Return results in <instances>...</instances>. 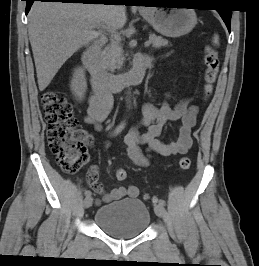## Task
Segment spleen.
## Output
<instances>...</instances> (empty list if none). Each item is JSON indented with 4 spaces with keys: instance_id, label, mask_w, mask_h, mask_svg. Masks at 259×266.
<instances>
[{
    "instance_id": "3e777b00",
    "label": "spleen",
    "mask_w": 259,
    "mask_h": 266,
    "mask_svg": "<svg viewBox=\"0 0 259 266\" xmlns=\"http://www.w3.org/2000/svg\"><path fill=\"white\" fill-rule=\"evenodd\" d=\"M212 42L214 45H219V36L217 34H214Z\"/></svg>"
}]
</instances>
